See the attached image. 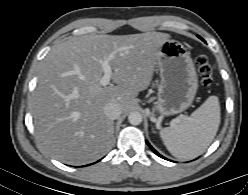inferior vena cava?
<instances>
[{
    "mask_svg": "<svg viewBox=\"0 0 248 195\" xmlns=\"http://www.w3.org/2000/svg\"><path fill=\"white\" fill-rule=\"evenodd\" d=\"M104 113L109 119L115 120L121 115L122 108L118 103L110 102L104 107Z\"/></svg>",
    "mask_w": 248,
    "mask_h": 195,
    "instance_id": "inferior-vena-cava-1",
    "label": "inferior vena cava"
}]
</instances>
